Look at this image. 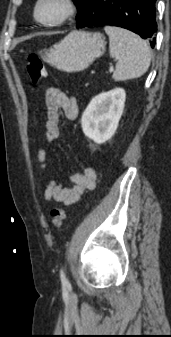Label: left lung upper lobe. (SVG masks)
<instances>
[{"mask_svg": "<svg viewBox=\"0 0 171 337\" xmlns=\"http://www.w3.org/2000/svg\"><path fill=\"white\" fill-rule=\"evenodd\" d=\"M73 1L78 8V14H77V17H76V19L78 20L80 18V16L82 15L88 0H73Z\"/></svg>", "mask_w": 171, "mask_h": 337, "instance_id": "obj_1", "label": "left lung upper lobe"}]
</instances>
